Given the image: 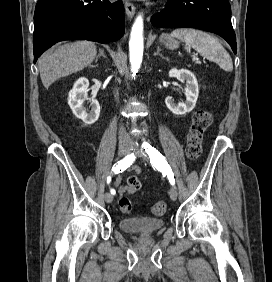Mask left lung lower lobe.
Masks as SVG:
<instances>
[{
  "instance_id": "left-lung-lower-lobe-1",
  "label": "left lung lower lobe",
  "mask_w": 272,
  "mask_h": 282,
  "mask_svg": "<svg viewBox=\"0 0 272 282\" xmlns=\"http://www.w3.org/2000/svg\"><path fill=\"white\" fill-rule=\"evenodd\" d=\"M151 23L161 28L191 27L216 33L237 52L228 0H168L166 7L152 16Z\"/></svg>"
}]
</instances>
